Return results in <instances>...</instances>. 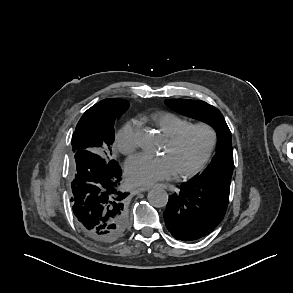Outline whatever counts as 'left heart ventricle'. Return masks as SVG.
Masks as SVG:
<instances>
[{
	"label": "left heart ventricle",
	"instance_id": "left-heart-ventricle-1",
	"mask_svg": "<svg viewBox=\"0 0 293 293\" xmlns=\"http://www.w3.org/2000/svg\"><path fill=\"white\" fill-rule=\"evenodd\" d=\"M208 143L203 129H193L176 145L165 142L163 154L170 157L176 172L191 168L202 156Z\"/></svg>",
	"mask_w": 293,
	"mask_h": 293
}]
</instances>
